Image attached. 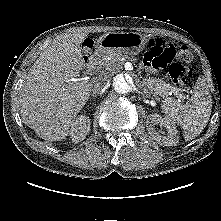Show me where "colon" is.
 <instances>
[{
    "label": "colon",
    "mask_w": 221,
    "mask_h": 221,
    "mask_svg": "<svg viewBox=\"0 0 221 221\" xmlns=\"http://www.w3.org/2000/svg\"><path fill=\"white\" fill-rule=\"evenodd\" d=\"M92 44L87 43L86 53L91 51ZM176 58V61H174ZM193 58L192 51L186 45L175 48L164 42L162 45H149L145 59L155 68L168 66L171 80L177 86H185L192 77L191 68L186 65Z\"/></svg>",
    "instance_id": "1"
}]
</instances>
